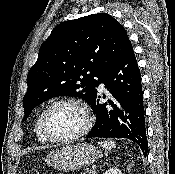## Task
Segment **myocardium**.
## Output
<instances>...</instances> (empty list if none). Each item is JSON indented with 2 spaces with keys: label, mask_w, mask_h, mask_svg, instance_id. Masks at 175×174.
<instances>
[{
  "label": "myocardium",
  "mask_w": 175,
  "mask_h": 174,
  "mask_svg": "<svg viewBox=\"0 0 175 174\" xmlns=\"http://www.w3.org/2000/svg\"><path fill=\"white\" fill-rule=\"evenodd\" d=\"M62 104H70L76 106L82 113L83 118H84V124L82 128L76 132L75 134L68 136V137H63V138H57L53 137L49 134L46 128V118L49 112L55 108L58 105ZM92 115L91 111L88 107V105L81 99L79 98H74V97H67V98H61L59 100L54 101L51 103L49 106L46 107V109L42 112L40 116V130L43 134V136L46 138L47 141L52 142V143H68L75 141L82 136H84L91 128L92 126Z\"/></svg>",
  "instance_id": "1"
}]
</instances>
